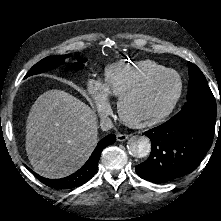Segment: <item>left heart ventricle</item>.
I'll return each instance as SVG.
<instances>
[{"label": "left heart ventricle", "mask_w": 221, "mask_h": 221, "mask_svg": "<svg viewBox=\"0 0 221 221\" xmlns=\"http://www.w3.org/2000/svg\"><path fill=\"white\" fill-rule=\"evenodd\" d=\"M178 90V80L174 75H168L151 86L141 96L129 104L130 112L135 116L152 115L163 109Z\"/></svg>", "instance_id": "1"}]
</instances>
